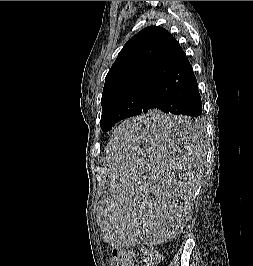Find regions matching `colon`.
Listing matches in <instances>:
<instances>
[{"mask_svg":"<svg viewBox=\"0 0 253 266\" xmlns=\"http://www.w3.org/2000/svg\"><path fill=\"white\" fill-rule=\"evenodd\" d=\"M132 255L123 250L115 249L111 255L112 266H130ZM161 261L159 254L150 249H144L142 251V259L138 266H156Z\"/></svg>","mask_w":253,"mask_h":266,"instance_id":"5ec220e1","label":"colon"}]
</instances>
